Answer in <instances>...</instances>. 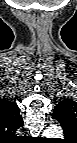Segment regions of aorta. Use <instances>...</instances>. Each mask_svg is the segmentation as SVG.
<instances>
[{
    "mask_svg": "<svg viewBox=\"0 0 77 143\" xmlns=\"http://www.w3.org/2000/svg\"><path fill=\"white\" fill-rule=\"evenodd\" d=\"M61 133V128L57 124H51L47 129L44 131L45 135H57Z\"/></svg>",
    "mask_w": 77,
    "mask_h": 143,
    "instance_id": "1",
    "label": "aorta"
}]
</instances>
